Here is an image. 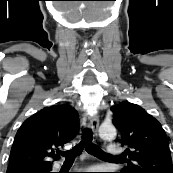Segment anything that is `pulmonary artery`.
I'll list each match as a JSON object with an SVG mask.
<instances>
[{"label": "pulmonary artery", "mask_w": 173, "mask_h": 173, "mask_svg": "<svg viewBox=\"0 0 173 173\" xmlns=\"http://www.w3.org/2000/svg\"><path fill=\"white\" fill-rule=\"evenodd\" d=\"M107 153L110 155H120L122 153V148L116 145H110L107 147Z\"/></svg>", "instance_id": "1"}]
</instances>
